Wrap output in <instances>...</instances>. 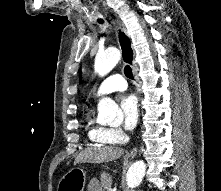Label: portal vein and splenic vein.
<instances>
[{
    "instance_id": "1",
    "label": "portal vein and splenic vein",
    "mask_w": 221,
    "mask_h": 191,
    "mask_svg": "<svg viewBox=\"0 0 221 191\" xmlns=\"http://www.w3.org/2000/svg\"><path fill=\"white\" fill-rule=\"evenodd\" d=\"M108 191H112V189H111V188H109V189H108Z\"/></svg>"
}]
</instances>
